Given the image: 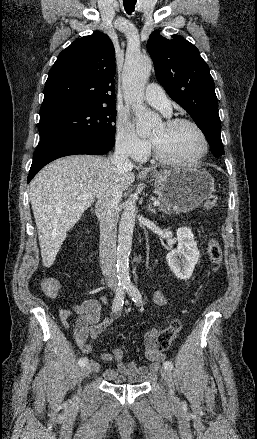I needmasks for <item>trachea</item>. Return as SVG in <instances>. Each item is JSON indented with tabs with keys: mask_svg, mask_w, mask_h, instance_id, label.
Listing matches in <instances>:
<instances>
[{
	"mask_svg": "<svg viewBox=\"0 0 257 439\" xmlns=\"http://www.w3.org/2000/svg\"><path fill=\"white\" fill-rule=\"evenodd\" d=\"M137 0H123L125 11L131 14L134 11Z\"/></svg>",
	"mask_w": 257,
	"mask_h": 439,
	"instance_id": "obj_1",
	"label": "trachea"
}]
</instances>
